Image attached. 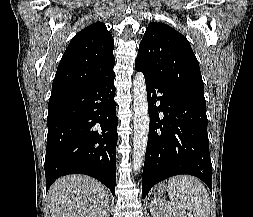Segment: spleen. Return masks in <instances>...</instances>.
I'll return each mask as SVG.
<instances>
[{"label": "spleen", "mask_w": 253, "mask_h": 217, "mask_svg": "<svg viewBox=\"0 0 253 217\" xmlns=\"http://www.w3.org/2000/svg\"><path fill=\"white\" fill-rule=\"evenodd\" d=\"M168 195L175 209H187L194 217H209V194L204 185L193 176L171 177L168 180Z\"/></svg>", "instance_id": "obj_1"}]
</instances>
